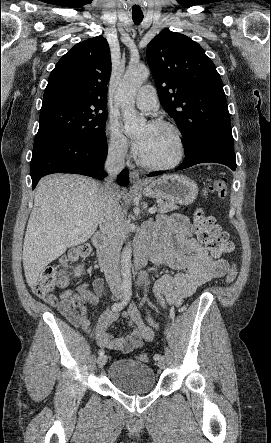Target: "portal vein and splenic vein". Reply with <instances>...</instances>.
I'll return each mask as SVG.
<instances>
[{
	"label": "portal vein and splenic vein",
	"mask_w": 271,
	"mask_h": 443,
	"mask_svg": "<svg viewBox=\"0 0 271 443\" xmlns=\"http://www.w3.org/2000/svg\"><path fill=\"white\" fill-rule=\"evenodd\" d=\"M150 214H155L156 212V208H151V210H149Z\"/></svg>",
	"instance_id": "1"
}]
</instances>
